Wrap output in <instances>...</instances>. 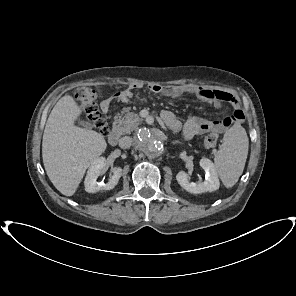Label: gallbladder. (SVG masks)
<instances>
[{"label":"gallbladder","mask_w":296,"mask_h":296,"mask_svg":"<svg viewBox=\"0 0 296 296\" xmlns=\"http://www.w3.org/2000/svg\"><path fill=\"white\" fill-rule=\"evenodd\" d=\"M78 124H79V125H82V126H84V127H86V128H90V124H89L88 122L78 121Z\"/></svg>","instance_id":"obj_1"}]
</instances>
